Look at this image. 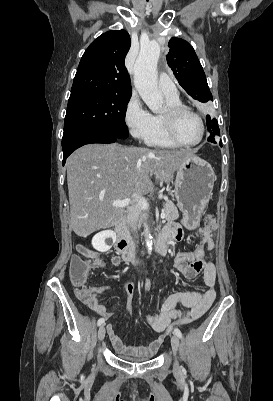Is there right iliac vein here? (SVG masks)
<instances>
[{
  "instance_id": "1",
  "label": "right iliac vein",
  "mask_w": 273,
  "mask_h": 401,
  "mask_svg": "<svg viewBox=\"0 0 273 401\" xmlns=\"http://www.w3.org/2000/svg\"><path fill=\"white\" fill-rule=\"evenodd\" d=\"M105 337V327L104 325L100 326L99 330H98V339L99 341H102Z\"/></svg>"
}]
</instances>
